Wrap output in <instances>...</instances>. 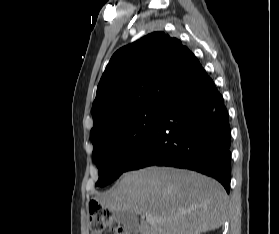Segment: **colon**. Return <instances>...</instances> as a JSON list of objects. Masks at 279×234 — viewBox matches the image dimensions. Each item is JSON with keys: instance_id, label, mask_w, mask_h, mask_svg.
I'll return each instance as SVG.
<instances>
[{"instance_id": "1", "label": "colon", "mask_w": 279, "mask_h": 234, "mask_svg": "<svg viewBox=\"0 0 279 234\" xmlns=\"http://www.w3.org/2000/svg\"><path fill=\"white\" fill-rule=\"evenodd\" d=\"M90 234H104L113 231L115 234H130L115 218L112 211L101 207L97 202H92L89 207Z\"/></svg>"}]
</instances>
